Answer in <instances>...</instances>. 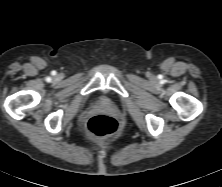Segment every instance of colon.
Returning a JSON list of instances; mask_svg holds the SVG:
<instances>
[{
    "instance_id": "obj_1",
    "label": "colon",
    "mask_w": 222,
    "mask_h": 187,
    "mask_svg": "<svg viewBox=\"0 0 222 187\" xmlns=\"http://www.w3.org/2000/svg\"><path fill=\"white\" fill-rule=\"evenodd\" d=\"M86 129L92 137L98 139L108 138L115 133L117 121L110 115L97 114L88 120Z\"/></svg>"
}]
</instances>
